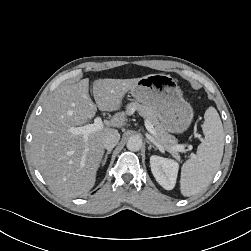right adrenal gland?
<instances>
[{"mask_svg":"<svg viewBox=\"0 0 251 251\" xmlns=\"http://www.w3.org/2000/svg\"><path fill=\"white\" fill-rule=\"evenodd\" d=\"M112 152V150H108L106 152V154L104 155V158L102 160V166H104L106 164V161H107V158H108V155Z\"/></svg>","mask_w":251,"mask_h":251,"instance_id":"2a0ac1e0","label":"right adrenal gland"}]
</instances>
